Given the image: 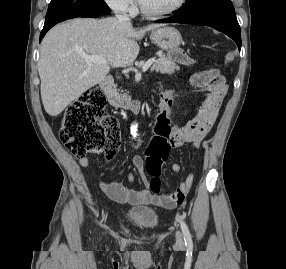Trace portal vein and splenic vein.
Wrapping results in <instances>:
<instances>
[{
	"instance_id": "portal-vein-and-splenic-vein-1",
	"label": "portal vein and splenic vein",
	"mask_w": 286,
	"mask_h": 269,
	"mask_svg": "<svg viewBox=\"0 0 286 269\" xmlns=\"http://www.w3.org/2000/svg\"><path fill=\"white\" fill-rule=\"evenodd\" d=\"M83 58L87 63H101V64H106L108 63L106 59L102 56L98 55H83ZM155 60L154 59H149L142 67V71L145 72L149 69V67L153 64Z\"/></svg>"
}]
</instances>
